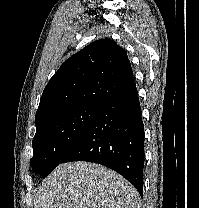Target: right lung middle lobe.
I'll return each instance as SVG.
<instances>
[{"mask_svg": "<svg viewBox=\"0 0 199 208\" xmlns=\"http://www.w3.org/2000/svg\"><path fill=\"white\" fill-rule=\"evenodd\" d=\"M99 106H82L57 113L36 125L32 169L47 176L73 149Z\"/></svg>", "mask_w": 199, "mask_h": 208, "instance_id": "dd1d6c3e", "label": "right lung middle lobe"}]
</instances>
